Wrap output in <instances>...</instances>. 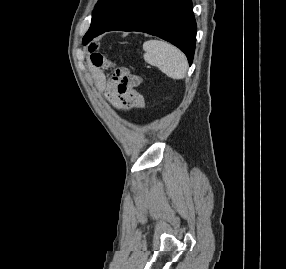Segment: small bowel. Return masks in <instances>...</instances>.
Wrapping results in <instances>:
<instances>
[{
    "label": "small bowel",
    "mask_w": 286,
    "mask_h": 269,
    "mask_svg": "<svg viewBox=\"0 0 286 269\" xmlns=\"http://www.w3.org/2000/svg\"><path fill=\"white\" fill-rule=\"evenodd\" d=\"M89 51L91 53L90 68L95 89L98 92H105L109 102L115 109L127 112L125 100H122V95H119V88H117V83L120 82L115 79L117 70H114V64L99 53L95 46H91ZM142 106L140 105V108Z\"/></svg>",
    "instance_id": "c3829d8e"
}]
</instances>
